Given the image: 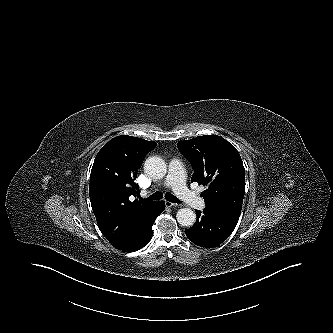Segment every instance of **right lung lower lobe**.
Returning <instances> with one entry per match:
<instances>
[{
    "label": "right lung lower lobe",
    "instance_id": "98d812e1",
    "mask_svg": "<svg viewBox=\"0 0 333 333\" xmlns=\"http://www.w3.org/2000/svg\"><path fill=\"white\" fill-rule=\"evenodd\" d=\"M164 208H165L164 202L162 201L158 202L153 217L142 226L140 231L135 236L134 240L128 246H126L121 250L124 252H133L144 247L151 240L153 235L152 225L157 216L164 210Z\"/></svg>",
    "mask_w": 333,
    "mask_h": 333
}]
</instances>
